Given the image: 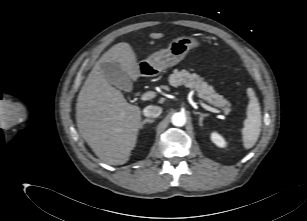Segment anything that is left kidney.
Segmentation results:
<instances>
[{
	"label": "left kidney",
	"instance_id": "1",
	"mask_svg": "<svg viewBox=\"0 0 307 221\" xmlns=\"http://www.w3.org/2000/svg\"><path fill=\"white\" fill-rule=\"evenodd\" d=\"M211 140H212V142L215 143L218 147L223 148V147H225V145H226L225 140H224L218 133H216V132H213V133L211 134Z\"/></svg>",
	"mask_w": 307,
	"mask_h": 221
}]
</instances>
